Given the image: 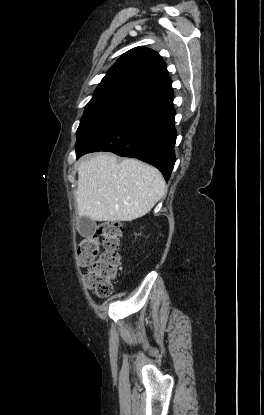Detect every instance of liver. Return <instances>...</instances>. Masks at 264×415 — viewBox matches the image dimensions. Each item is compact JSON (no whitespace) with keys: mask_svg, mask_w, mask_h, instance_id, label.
I'll list each match as a JSON object with an SVG mask.
<instances>
[{"mask_svg":"<svg viewBox=\"0 0 264 415\" xmlns=\"http://www.w3.org/2000/svg\"><path fill=\"white\" fill-rule=\"evenodd\" d=\"M165 194L161 172L142 161L101 153L78 163V215L94 221H132Z\"/></svg>","mask_w":264,"mask_h":415,"instance_id":"1","label":"liver"}]
</instances>
